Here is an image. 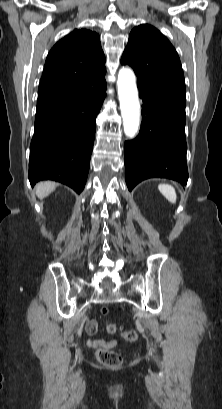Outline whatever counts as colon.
<instances>
[{
    "label": "colon",
    "instance_id": "obj_1",
    "mask_svg": "<svg viewBox=\"0 0 222 409\" xmlns=\"http://www.w3.org/2000/svg\"><path fill=\"white\" fill-rule=\"evenodd\" d=\"M108 313L109 309L107 307H103L101 309L102 315H108ZM106 329L109 333H114L117 331V325L114 323H109L107 324ZM122 335L124 339L129 342H134L138 339V334L134 330L123 331ZM97 359L102 365L110 368L119 367L123 363L122 355L118 351L111 348H100L97 351Z\"/></svg>",
    "mask_w": 222,
    "mask_h": 409
}]
</instances>
